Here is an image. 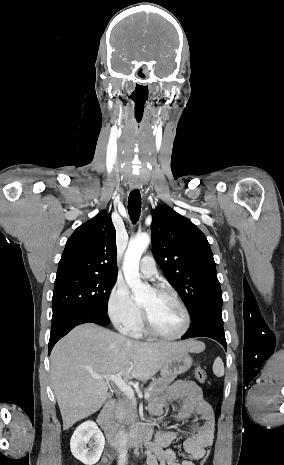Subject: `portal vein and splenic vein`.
Masks as SVG:
<instances>
[{
    "label": "portal vein and splenic vein",
    "instance_id": "18ae733b",
    "mask_svg": "<svg viewBox=\"0 0 284 465\" xmlns=\"http://www.w3.org/2000/svg\"><path fill=\"white\" fill-rule=\"evenodd\" d=\"M93 379H106V381H113L121 391H123L124 395H126L127 399H130V401H133L136 405V399L134 395L133 389H131L130 385H127V383H124L122 381V373H117V375H91ZM150 393H145L144 399H149Z\"/></svg>",
    "mask_w": 284,
    "mask_h": 465
}]
</instances>
